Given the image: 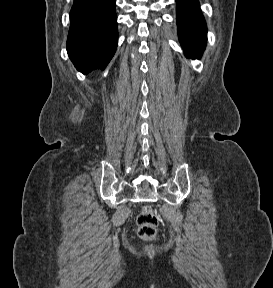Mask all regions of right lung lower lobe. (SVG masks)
I'll return each mask as SVG.
<instances>
[{
    "label": "right lung lower lobe",
    "mask_w": 273,
    "mask_h": 288,
    "mask_svg": "<svg viewBox=\"0 0 273 288\" xmlns=\"http://www.w3.org/2000/svg\"><path fill=\"white\" fill-rule=\"evenodd\" d=\"M116 0H74L67 39L68 55L82 73L104 69L118 41Z\"/></svg>",
    "instance_id": "1"
}]
</instances>
